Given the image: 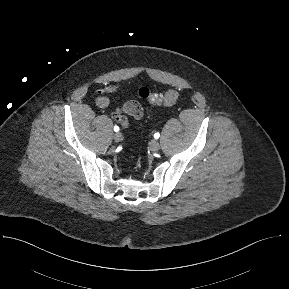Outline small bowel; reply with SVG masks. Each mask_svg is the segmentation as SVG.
<instances>
[{
    "label": "small bowel",
    "instance_id": "small-bowel-1",
    "mask_svg": "<svg viewBox=\"0 0 289 289\" xmlns=\"http://www.w3.org/2000/svg\"><path fill=\"white\" fill-rule=\"evenodd\" d=\"M125 86L126 85L123 83H117L108 84L102 87L98 91V95L95 100L97 107L100 109L107 108L110 105V95L119 92ZM128 116L135 120H139L142 118L143 108L138 101L129 100L123 105L115 108L111 113L112 119L125 128L129 126Z\"/></svg>",
    "mask_w": 289,
    "mask_h": 289
}]
</instances>
